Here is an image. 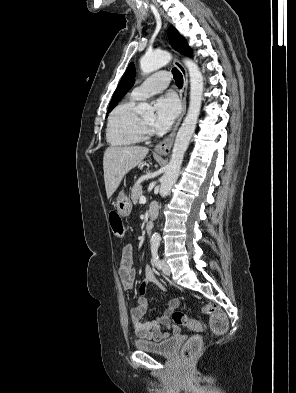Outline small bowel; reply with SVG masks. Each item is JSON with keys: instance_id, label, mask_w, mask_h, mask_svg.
Here are the masks:
<instances>
[{"instance_id": "c3829d8e", "label": "small bowel", "mask_w": 296, "mask_h": 393, "mask_svg": "<svg viewBox=\"0 0 296 393\" xmlns=\"http://www.w3.org/2000/svg\"><path fill=\"white\" fill-rule=\"evenodd\" d=\"M118 275L125 290H132L135 278V268L133 262V248L127 244L122 249L121 261L118 265ZM152 284L162 291H166L165 286L156 278L152 267L146 266L144 278L140 283L139 293L136 295V305L129 312L134 333L138 338L159 340L169 334L164 328L172 329L174 333L179 332V327L171 324L170 317L179 306V299L172 298L167 302V307L161 316H155L147 322L142 319L149 309V302L146 297L147 285Z\"/></svg>"}]
</instances>
